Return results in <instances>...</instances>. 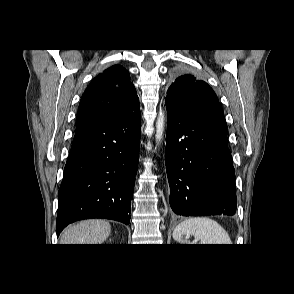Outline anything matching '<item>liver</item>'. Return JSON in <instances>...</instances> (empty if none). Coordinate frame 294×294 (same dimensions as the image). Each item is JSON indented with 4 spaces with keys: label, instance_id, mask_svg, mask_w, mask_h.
I'll use <instances>...</instances> for the list:
<instances>
[{
    "label": "liver",
    "instance_id": "1",
    "mask_svg": "<svg viewBox=\"0 0 294 294\" xmlns=\"http://www.w3.org/2000/svg\"><path fill=\"white\" fill-rule=\"evenodd\" d=\"M111 233L109 222L89 219L68 226L61 234V244H102Z\"/></svg>",
    "mask_w": 294,
    "mask_h": 294
}]
</instances>
